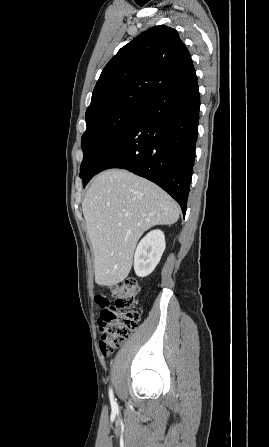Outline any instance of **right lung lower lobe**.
Listing matches in <instances>:
<instances>
[{
    "label": "right lung lower lobe",
    "instance_id": "1",
    "mask_svg": "<svg viewBox=\"0 0 269 447\" xmlns=\"http://www.w3.org/2000/svg\"><path fill=\"white\" fill-rule=\"evenodd\" d=\"M143 106V112L90 167L83 185L105 169H127L163 188L185 215L200 109L194 66Z\"/></svg>",
    "mask_w": 269,
    "mask_h": 447
}]
</instances>
